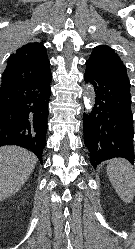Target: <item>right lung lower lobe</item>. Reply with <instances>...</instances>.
I'll return each mask as SVG.
<instances>
[{"instance_id":"1","label":"right lung lower lobe","mask_w":135,"mask_h":249,"mask_svg":"<svg viewBox=\"0 0 135 249\" xmlns=\"http://www.w3.org/2000/svg\"><path fill=\"white\" fill-rule=\"evenodd\" d=\"M52 75L0 86V146L17 145L42 162Z\"/></svg>"}]
</instances>
